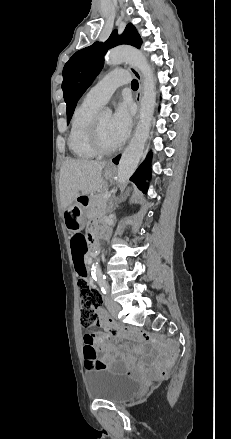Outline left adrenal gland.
I'll list each match as a JSON object with an SVG mask.
<instances>
[{"label":"left adrenal gland","instance_id":"a2214340","mask_svg":"<svg viewBox=\"0 0 231 439\" xmlns=\"http://www.w3.org/2000/svg\"><path fill=\"white\" fill-rule=\"evenodd\" d=\"M113 207H114V204H113V202H112V201H110V202H109V207H108V210H109V211H113V210H114V208H113Z\"/></svg>","mask_w":231,"mask_h":439}]
</instances>
